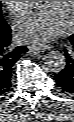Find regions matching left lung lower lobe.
<instances>
[{
    "mask_svg": "<svg viewBox=\"0 0 74 122\" xmlns=\"http://www.w3.org/2000/svg\"><path fill=\"white\" fill-rule=\"evenodd\" d=\"M70 42L74 46V34L70 36ZM65 52L66 66L55 75L56 83L61 87L63 92L74 94V49L71 53Z\"/></svg>",
    "mask_w": 74,
    "mask_h": 122,
    "instance_id": "0a47b994",
    "label": "left lung lower lobe"
}]
</instances>
